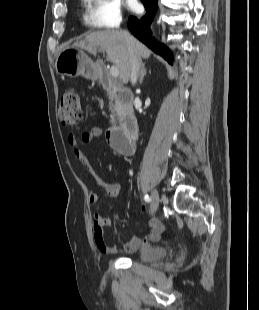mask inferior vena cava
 Wrapping results in <instances>:
<instances>
[{
	"instance_id": "602c4592",
	"label": "inferior vena cava",
	"mask_w": 259,
	"mask_h": 310,
	"mask_svg": "<svg viewBox=\"0 0 259 310\" xmlns=\"http://www.w3.org/2000/svg\"><path fill=\"white\" fill-rule=\"evenodd\" d=\"M125 39L128 44L129 52H130V81L132 85L136 84L140 67H141V59L135 54L133 50V38L126 31H123Z\"/></svg>"
}]
</instances>
